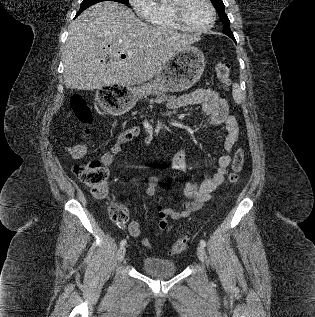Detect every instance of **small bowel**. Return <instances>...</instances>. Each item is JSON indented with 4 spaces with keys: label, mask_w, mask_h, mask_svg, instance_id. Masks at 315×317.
<instances>
[{
    "label": "small bowel",
    "mask_w": 315,
    "mask_h": 317,
    "mask_svg": "<svg viewBox=\"0 0 315 317\" xmlns=\"http://www.w3.org/2000/svg\"><path fill=\"white\" fill-rule=\"evenodd\" d=\"M191 105H201V116L204 122L210 126L224 125L226 129V137L222 149V153L218 159L217 171L202 183L187 181L183 188V194L186 200L182 203L181 209L166 207L162 204V198L159 195V178L151 177L147 183V195L154 197L157 202V216L159 218L154 236H158L163 231L170 232L172 226L168 222V218L179 220L190 216L198 211L204 203L209 201L212 194L222 185L227 168L230 165V153L233 150L238 137L239 127L233 115L230 114L227 102L219 96L213 89H198L189 94L180 96L171 100L168 107L172 110L184 108ZM140 128L137 126L124 130L118 137L112 148L101 156V163L105 167H109L114 163L115 156L121 152L122 148L138 137ZM172 168L186 172L188 169L186 161V152L183 148L178 149L172 161ZM128 232L132 237H139L141 227L138 221H132L128 226ZM142 244L150 248L152 247V237L142 239Z\"/></svg>",
    "instance_id": "small-bowel-1"
}]
</instances>
